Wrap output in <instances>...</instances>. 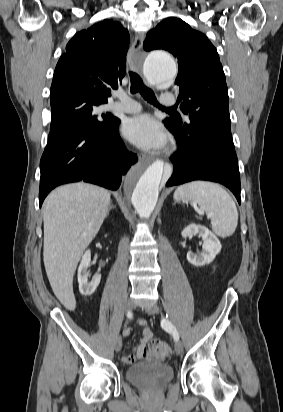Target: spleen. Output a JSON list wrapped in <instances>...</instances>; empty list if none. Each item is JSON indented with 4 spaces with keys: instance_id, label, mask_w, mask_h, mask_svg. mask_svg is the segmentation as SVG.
<instances>
[{
    "instance_id": "spleen-1",
    "label": "spleen",
    "mask_w": 283,
    "mask_h": 412,
    "mask_svg": "<svg viewBox=\"0 0 283 412\" xmlns=\"http://www.w3.org/2000/svg\"><path fill=\"white\" fill-rule=\"evenodd\" d=\"M175 200L194 201L211 219L213 232L224 238L231 236L237 227L238 212L231 196L218 184L193 181L177 188Z\"/></svg>"
}]
</instances>
